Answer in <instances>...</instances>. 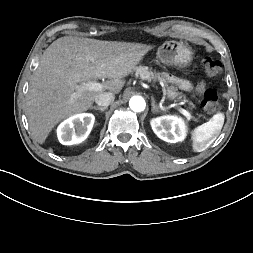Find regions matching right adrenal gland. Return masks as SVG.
<instances>
[{
    "label": "right adrenal gland",
    "instance_id": "1",
    "mask_svg": "<svg viewBox=\"0 0 253 253\" xmlns=\"http://www.w3.org/2000/svg\"><path fill=\"white\" fill-rule=\"evenodd\" d=\"M108 107H98V106H91L90 109L100 110L101 112H104Z\"/></svg>",
    "mask_w": 253,
    "mask_h": 253
}]
</instances>
